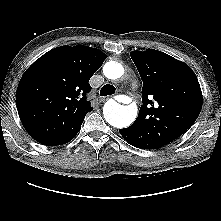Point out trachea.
Here are the masks:
<instances>
[{
  "label": "trachea",
  "instance_id": "trachea-1",
  "mask_svg": "<svg viewBox=\"0 0 221 221\" xmlns=\"http://www.w3.org/2000/svg\"><path fill=\"white\" fill-rule=\"evenodd\" d=\"M116 92V88L113 85L106 84L100 90L101 96L112 95Z\"/></svg>",
  "mask_w": 221,
  "mask_h": 221
}]
</instances>
